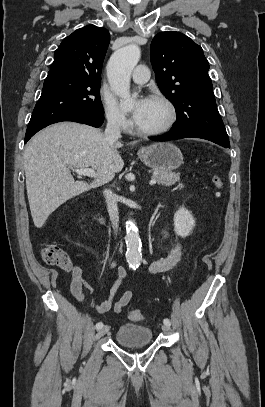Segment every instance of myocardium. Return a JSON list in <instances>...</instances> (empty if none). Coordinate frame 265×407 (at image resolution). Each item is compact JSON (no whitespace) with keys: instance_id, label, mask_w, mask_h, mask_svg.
Wrapping results in <instances>:
<instances>
[{"instance_id":"myocardium-1","label":"myocardium","mask_w":265,"mask_h":407,"mask_svg":"<svg viewBox=\"0 0 265 407\" xmlns=\"http://www.w3.org/2000/svg\"><path fill=\"white\" fill-rule=\"evenodd\" d=\"M149 99H152V100H155V101H158V102H161L162 104H164L168 111V118L161 127L152 129V130H143V129L138 128L136 126V124H134L133 129H134L135 133L142 137H154V136H159V135H162V134L168 132L174 126V124L177 121V117H178V112H177V108H176L175 104L167 96H165L163 94H153L150 96Z\"/></svg>"}]
</instances>
